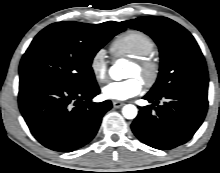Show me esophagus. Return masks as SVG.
<instances>
[{
  "label": "esophagus",
  "instance_id": "1",
  "mask_svg": "<svg viewBox=\"0 0 220 173\" xmlns=\"http://www.w3.org/2000/svg\"><path fill=\"white\" fill-rule=\"evenodd\" d=\"M124 105V102L121 101H113V107L114 108H120Z\"/></svg>",
  "mask_w": 220,
  "mask_h": 173
}]
</instances>
